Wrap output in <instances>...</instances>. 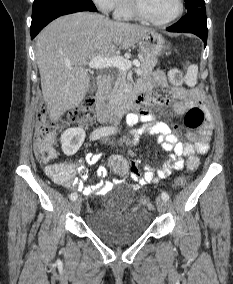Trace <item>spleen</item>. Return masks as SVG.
<instances>
[{"label":"spleen","mask_w":233,"mask_h":284,"mask_svg":"<svg viewBox=\"0 0 233 284\" xmlns=\"http://www.w3.org/2000/svg\"><path fill=\"white\" fill-rule=\"evenodd\" d=\"M198 66L190 65L187 70V75L185 76V81L188 86H195L197 83Z\"/></svg>","instance_id":"1"}]
</instances>
